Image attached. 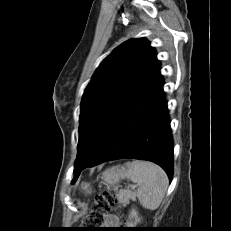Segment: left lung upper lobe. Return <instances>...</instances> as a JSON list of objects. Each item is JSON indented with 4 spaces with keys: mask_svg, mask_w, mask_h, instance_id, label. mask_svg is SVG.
Returning <instances> with one entry per match:
<instances>
[{
    "mask_svg": "<svg viewBox=\"0 0 231 231\" xmlns=\"http://www.w3.org/2000/svg\"><path fill=\"white\" fill-rule=\"evenodd\" d=\"M157 63L154 48L144 38L122 43L103 60L81 101L75 169L85 164L111 120Z\"/></svg>",
    "mask_w": 231,
    "mask_h": 231,
    "instance_id": "left-lung-upper-lobe-1",
    "label": "left lung upper lobe"
}]
</instances>
